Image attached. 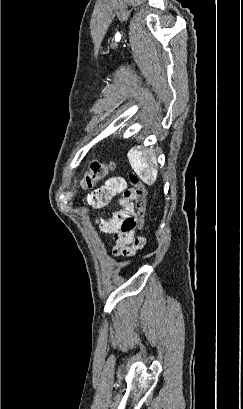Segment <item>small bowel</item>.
Masks as SVG:
<instances>
[{"label":"small bowel","mask_w":243,"mask_h":409,"mask_svg":"<svg viewBox=\"0 0 243 409\" xmlns=\"http://www.w3.org/2000/svg\"><path fill=\"white\" fill-rule=\"evenodd\" d=\"M119 194H122L118 200L119 210L108 220H97V225L103 233L114 239L115 244L112 248L114 256L132 257L146 245L145 237L134 236L136 228L134 190L127 189L123 179L112 178L103 187L91 193L88 200L94 207H102Z\"/></svg>","instance_id":"obj_1"}]
</instances>
